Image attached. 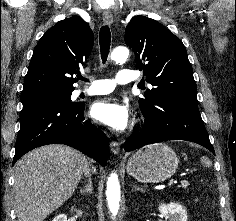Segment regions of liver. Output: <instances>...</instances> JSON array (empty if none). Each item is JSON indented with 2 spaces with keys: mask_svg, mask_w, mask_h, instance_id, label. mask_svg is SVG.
I'll list each match as a JSON object with an SVG mask.
<instances>
[{
  "mask_svg": "<svg viewBox=\"0 0 236 221\" xmlns=\"http://www.w3.org/2000/svg\"><path fill=\"white\" fill-rule=\"evenodd\" d=\"M87 165L84 154L58 144L37 148L21 158L14 175L18 221H43L72 196Z\"/></svg>",
  "mask_w": 236,
  "mask_h": 221,
  "instance_id": "6515ba94",
  "label": "liver"
}]
</instances>
